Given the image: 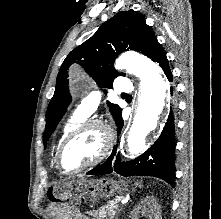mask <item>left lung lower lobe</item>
<instances>
[{"label": "left lung lower lobe", "mask_w": 221, "mask_h": 219, "mask_svg": "<svg viewBox=\"0 0 221 219\" xmlns=\"http://www.w3.org/2000/svg\"><path fill=\"white\" fill-rule=\"evenodd\" d=\"M152 61L159 63L168 80L172 82L169 62L161 45L153 53ZM123 124L122 119L117 124L118 132H120ZM116 149L117 146L105 163L90 170L87 174L103 175L116 172L121 176H154L175 187V131L172 112L169 114L165 127L156 142L136 159L130 162H121L119 154L116 156ZM114 156H116L115 161L112 163Z\"/></svg>", "instance_id": "1"}]
</instances>
